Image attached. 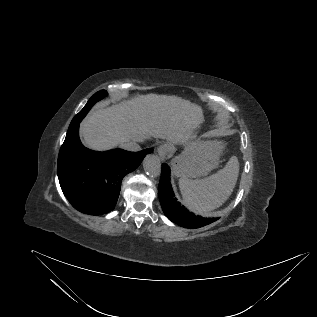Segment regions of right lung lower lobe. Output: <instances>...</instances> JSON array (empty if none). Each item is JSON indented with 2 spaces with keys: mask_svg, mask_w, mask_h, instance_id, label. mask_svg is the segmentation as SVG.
<instances>
[{
  "mask_svg": "<svg viewBox=\"0 0 317 317\" xmlns=\"http://www.w3.org/2000/svg\"><path fill=\"white\" fill-rule=\"evenodd\" d=\"M80 121L68 130L58 156V178L71 205L80 212L99 215L116 205L123 177L135 170L147 153L114 149L95 152L78 135Z\"/></svg>",
  "mask_w": 317,
  "mask_h": 317,
  "instance_id": "1",
  "label": "right lung lower lobe"
}]
</instances>
